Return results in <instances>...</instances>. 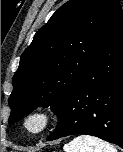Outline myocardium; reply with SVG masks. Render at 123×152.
Returning <instances> with one entry per match:
<instances>
[{"mask_svg":"<svg viewBox=\"0 0 123 152\" xmlns=\"http://www.w3.org/2000/svg\"><path fill=\"white\" fill-rule=\"evenodd\" d=\"M34 120H38L39 122V125L36 128L31 127V123ZM52 121L53 115L48 109L38 108L26 115L23 126L28 133L38 135L45 132L50 127Z\"/></svg>","mask_w":123,"mask_h":152,"instance_id":"obj_1","label":"myocardium"}]
</instances>
